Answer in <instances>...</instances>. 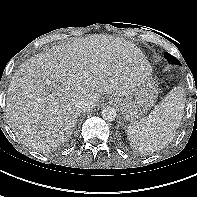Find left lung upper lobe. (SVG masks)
<instances>
[{
    "instance_id": "1",
    "label": "left lung upper lobe",
    "mask_w": 197,
    "mask_h": 197,
    "mask_svg": "<svg viewBox=\"0 0 197 197\" xmlns=\"http://www.w3.org/2000/svg\"><path fill=\"white\" fill-rule=\"evenodd\" d=\"M165 58L167 59V61L170 63V64H177V65H180V62L174 57L172 56L171 54L169 53H165L164 54Z\"/></svg>"
}]
</instances>
